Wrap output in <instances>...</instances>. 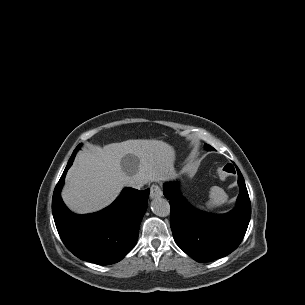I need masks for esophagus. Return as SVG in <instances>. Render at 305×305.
I'll return each mask as SVG.
<instances>
[{
  "label": "esophagus",
  "mask_w": 305,
  "mask_h": 305,
  "mask_svg": "<svg viewBox=\"0 0 305 305\" xmlns=\"http://www.w3.org/2000/svg\"><path fill=\"white\" fill-rule=\"evenodd\" d=\"M161 195V190L158 186H151L150 188V198H156Z\"/></svg>",
  "instance_id": "34e87169"
}]
</instances>
